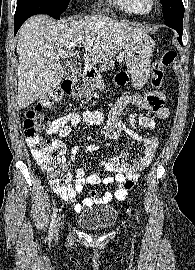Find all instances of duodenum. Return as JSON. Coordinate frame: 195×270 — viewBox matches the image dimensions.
<instances>
[{
  "mask_svg": "<svg viewBox=\"0 0 195 270\" xmlns=\"http://www.w3.org/2000/svg\"><path fill=\"white\" fill-rule=\"evenodd\" d=\"M83 74L87 79L92 80L95 77L96 72L91 66L86 64L83 66Z\"/></svg>",
  "mask_w": 195,
  "mask_h": 270,
  "instance_id": "obj_1",
  "label": "duodenum"
}]
</instances>
